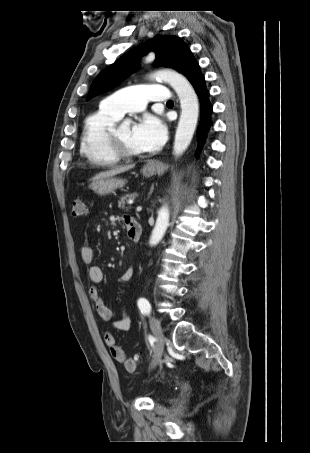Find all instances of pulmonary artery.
I'll return each mask as SVG.
<instances>
[{
	"instance_id": "pulmonary-artery-1",
	"label": "pulmonary artery",
	"mask_w": 310,
	"mask_h": 453,
	"mask_svg": "<svg viewBox=\"0 0 310 453\" xmlns=\"http://www.w3.org/2000/svg\"><path fill=\"white\" fill-rule=\"evenodd\" d=\"M169 97L168 89L163 85L132 86L109 95L101 102V106L122 116L128 112L142 111L148 101H168Z\"/></svg>"
}]
</instances>
